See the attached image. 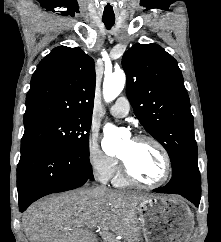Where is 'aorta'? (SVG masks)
I'll return each instance as SVG.
<instances>
[{"label":"aorta","mask_w":221,"mask_h":242,"mask_svg":"<svg viewBox=\"0 0 221 242\" xmlns=\"http://www.w3.org/2000/svg\"><path fill=\"white\" fill-rule=\"evenodd\" d=\"M126 82V75L122 70L106 75L103 83V97L106 102H111L122 92ZM122 144L121 131L112 124L104 127L103 150L106 153L116 152Z\"/></svg>","instance_id":"762f6f07"}]
</instances>
